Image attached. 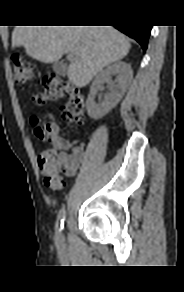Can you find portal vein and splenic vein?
Segmentation results:
<instances>
[{
    "instance_id": "obj_1",
    "label": "portal vein and splenic vein",
    "mask_w": 184,
    "mask_h": 292,
    "mask_svg": "<svg viewBox=\"0 0 184 292\" xmlns=\"http://www.w3.org/2000/svg\"><path fill=\"white\" fill-rule=\"evenodd\" d=\"M67 58H68L69 60H72V59H73V55H72L71 53H68V54H67Z\"/></svg>"
}]
</instances>
